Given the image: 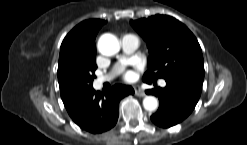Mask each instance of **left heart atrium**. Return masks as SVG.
<instances>
[{
	"label": "left heart atrium",
	"instance_id": "left-heart-atrium-1",
	"mask_svg": "<svg viewBox=\"0 0 247 145\" xmlns=\"http://www.w3.org/2000/svg\"><path fill=\"white\" fill-rule=\"evenodd\" d=\"M136 78L135 72L132 70H127L123 73V79L126 82H133Z\"/></svg>",
	"mask_w": 247,
	"mask_h": 145
}]
</instances>
